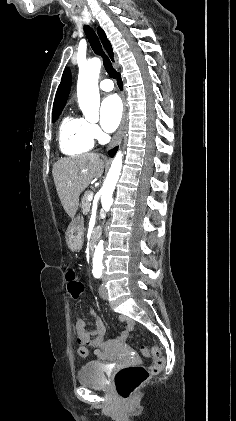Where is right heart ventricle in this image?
I'll use <instances>...</instances> for the list:
<instances>
[{"instance_id": "obj_1", "label": "right heart ventricle", "mask_w": 236, "mask_h": 421, "mask_svg": "<svg viewBox=\"0 0 236 421\" xmlns=\"http://www.w3.org/2000/svg\"><path fill=\"white\" fill-rule=\"evenodd\" d=\"M60 151L69 157H79L93 148V137L87 120L67 115L61 121L58 133Z\"/></svg>"}]
</instances>
